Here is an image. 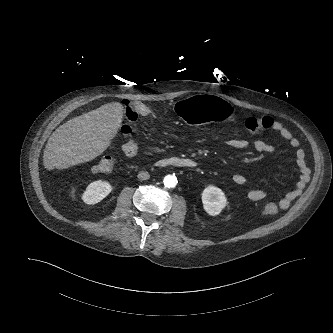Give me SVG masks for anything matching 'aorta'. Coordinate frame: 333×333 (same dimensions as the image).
<instances>
[{
  "instance_id": "aorta-1",
  "label": "aorta",
  "mask_w": 333,
  "mask_h": 333,
  "mask_svg": "<svg viewBox=\"0 0 333 333\" xmlns=\"http://www.w3.org/2000/svg\"><path fill=\"white\" fill-rule=\"evenodd\" d=\"M177 184V180L174 176L168 175L164 178V185L167 188H174Z\"/></svg>"
}]
</instances>
